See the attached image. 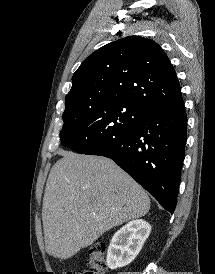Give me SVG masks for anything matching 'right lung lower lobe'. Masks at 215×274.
<instances>
[{
    "mask_svg": "<svg viewBox=\"0 0 215 274\" xmlns=\"http://www.w3.org/2000/svg\"><path fill=\"white\" fill-rule=\"evenodd\" d=\"M186 140L187 115L182 100L145 110L128 133L86 154L114 160L173 213Z\"/></svg>",
    "mask_w": 215,
    "mask_h": 274,
    "instance_id": "98d812e1",
    "label": "right lung lower lobe"
}]
</instances>
